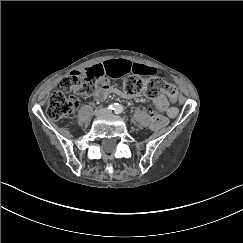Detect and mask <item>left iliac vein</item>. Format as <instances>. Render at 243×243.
<instances>
[{"label": "left iliac vein", "instance_id": "left-iliac-vein-1", "mask_svg": "<svg viewBox=\"0 0 243 243\" xmlns=\"http://www.w3.org/2000/svg\"><path fill=\"white\" fill-rule=\"evenodd\" d=\"M105 113H106V114H111V111H106Z\"/></svg>", "mask_w": 243, "mask_h": 243}]
</instances>
